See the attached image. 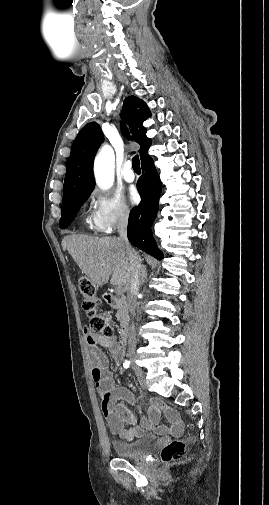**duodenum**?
Segmentation results:
<instances>
[{
	"instance_id": "obj_1",
	"label": "duodenum",
	"mask_w": 269,
	"mask_h": 505,
	"mask_svg": "<svg viewBox=\"0 0 269 505\" xmlns=\"http://www.w3.org/2000/svg\"><path fill=\"white\" fill-rule=\"evenodd\" d=\"M104 301L111 308L117 309L121 312V324L119 329V341L121 344H125L128 340V326L129 320L127 316L128 304L125 298L113 295L111 293H105L103 295Z\"/></svg>"
}]
</instances>
